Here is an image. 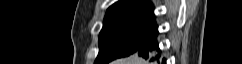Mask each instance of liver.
<instances>
[{
  "mask_svg": "<svg viewBox=\"0 0 242 64\" xmlns=\"http://www.w3.org/2000/svg\"><path fill=\"white\" fill-rule=\"evenodd\" d=\"M112 64H145V61L137 55H132L128 58L118 59Z\"/></svg>",
  "mask_w": 242,
  "mask_h": 64,
  "instance_id": "6515ba94",
  "label": "liver"
}]
</instances>
